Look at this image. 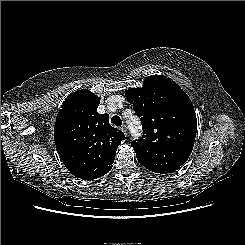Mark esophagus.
<instances>
[{"instance_id":"1","label":"esophagus","mask_w":245,"mask_h":245,"mask_svg":"<svg viewBox=\"0 0 245 245\" xmlns=\"http://www.w3.org/2000/svg\"><path fill=\"white\" fill-rule=\"evenodd\" d=\"M121 130L123 131L125 136H128V130H127V127L125 125H122Z\"/></svg>"}]
</instances>
